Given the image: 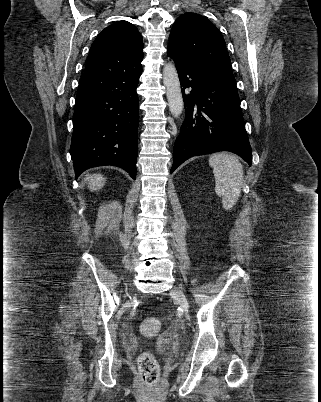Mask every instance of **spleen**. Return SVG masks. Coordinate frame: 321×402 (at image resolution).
Instances as JSON below:
<instances>
[{
	"instance_id": "3e777b00",
	"label": "spleen",
	"mask_w": 321,
	"mask_h": 402,
	"mask_svg": "<svg viewBox=\"0 0 321 402\" xmlns=\"http://www.w3.org/2000/svg\"><path fill=\"white\" fill-rule=\"evenodd\" d=\"M209 165L213 168L215 192L222 196L223 208L231 209L241 194L243 167L234 155L227 153L211 155Z\"/></svg>"
}]
</instances>
